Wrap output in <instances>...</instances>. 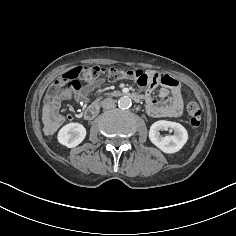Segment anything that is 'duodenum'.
Masks as SVG:
<instances>
[{
    "instance_id": "1",
    "label": "duodenum",
    "mask_w": 236,
    "mask_h": 236,
    "mask_svg": "<svg viewBox=\"0 0 236 236\" xmlns=\"http://www.w3.org/2000/svg\"><path fill=\"white\" fill-rule=\"evenodd\" d=\"M131 98L135 101V102H140L142 100V97L138 94H131ZM99 111V104L98 101H94L91 105H89L85 112H84V117L86 119H92L94 118L97 113Z\"/></svg>"
}]
</instances>
